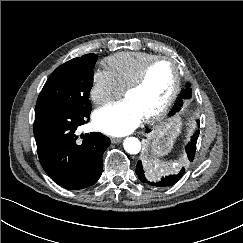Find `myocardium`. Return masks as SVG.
<instances>
[{
    "mask_svg": "<svg viewBox=\"0 0 243 243\" xmlns=\"http://www.w3.org/2000/svg\"><path fill=\"white\" fill-rule=\"evenodd\" d=\"M161 61H169L173 64L175 68V82L173 88L167 97V99L153 112L145 116L146 120H154L162 116L173 104L175 101L181 87V72L180 66L177 61L169 56H157L150 60L139 73V75L131 81L125 88H124V95L126 96L130 91L135 90L143 85L146 81L147 76L151 70V68L158 62Z\"/></svg>",
    "mask_w": 243,
    "mask_h": 243,
    "instance_id": "obj_1",
    "label": "myocardium"
}]
</instances>
